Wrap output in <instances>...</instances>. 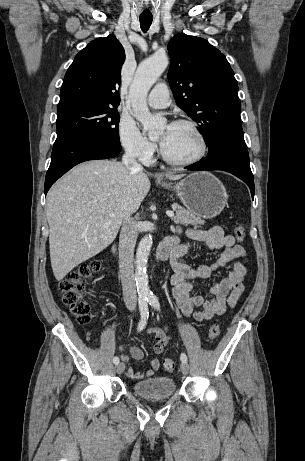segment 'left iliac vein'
Wrapping results in <instances>:
<instances>
[{
	"instance_id": "obj_1",
	"label": "left iliac vein",
	"mask_w": 305,
	"mask_h": 461,
	"mask_svg": "<svg viewBox=\"0 0 305 461\" xmlns=\"http://www.w3.org/2000/svg\"><path fill=\"white\" fill-rule=\"evenodd\" d=\"M181 372L186 375L189 372V366L186 362H182L180 365Z\"/></svg>"
}]
</instances>
